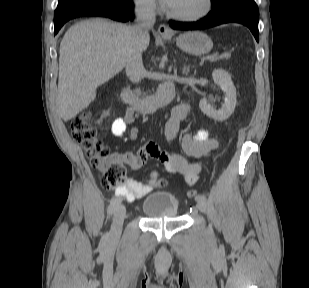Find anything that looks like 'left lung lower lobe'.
<instances>
[{
	"instance_id": "obj_1",
	"label": "left lung lower lobe",
	"mask_w": 309,
	"mask_h": 288,
	"mask_svg": "<svg viewBox=\"0 0 309 288\" xmlns=\"http://www.w3.org/2000/svg\"><path fill=\"white\" fill-rule=\"evenodd\" d=\"M259 13L254 0H226L219 6L212 8L210 13L197 22L170 21L173 29L197 30L205 29L228 22H237L246 25L259 41L258 31Z\"/></svg>"
}]
</instances>
